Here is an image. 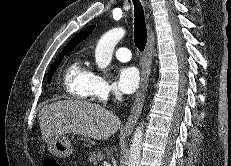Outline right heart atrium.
<instances>
[{"instance_id": "d8ad5b80", "label": "right heart atrium", "mask_w": 231, "mask_h": 166, "mask_svg": "<svg viewBox=\"0 0 231 166\" xmlns=\"http://www.w3.org/2000/svg\"><path fill=\"white\" fill-rule=\"evenodd\" d=\"M90 94L91 97L99 101H105L110 96H118L116 88L105 76L99 73H93Z\"/></svg>"}]
</instances>
